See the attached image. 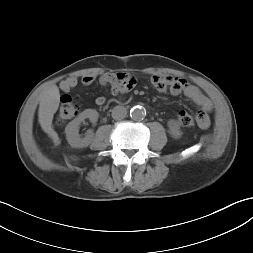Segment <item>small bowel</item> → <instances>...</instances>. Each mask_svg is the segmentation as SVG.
I'll return each instance as SVG.
<instances>
[{"label":"small bowel","instance_id":"1","mask_svg":"<svg viewBox=\"0 0 253 253\" xmlns=\"http://www.w3.org/2000/svg\"><path fill=\"white\" fill-rule=\"evenodd\" d=\"M96 80L103 86H111L115 95L126 93L135 84V78L128 73H104L99 77L93 74L84 75L81 78L69 77L60 83V88L64 92L74 89L79 83L89 86ZM152 85L159 92H169L173 96L184 94L189 100L197 105L200 110L197 113V122L200 128L207 129L210 125L208 113L212 110L211 101L205 97L195 86L188 84L184 79L165 75H154L151 78ZM98 106L106 103V98L100 96L96 99Z\"/></svg>","mask_w":253,"mask_h":253}]
</instances>
